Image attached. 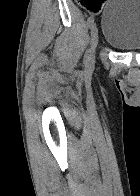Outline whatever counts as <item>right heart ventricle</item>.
I'll return each mask as SVG.
<instances>
[{"instance_id":"1","label":"right heart ventricle","mask_w":140,"mask_h":196,"mask_svg":"<svg viewBox=\"0 0 140 196\" xmlns=\"http://www.w3.org/2000/svg\"><path fill=\"white\" fill-rule=\"evenodd\" d=\"M57 192H60V191H57ZM66 192V191H64ZM79 192H110V191H79Z\"/></svg>"}]
</instances>
